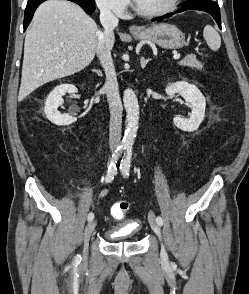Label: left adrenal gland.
I'll return each instance as SVG.
<instances>
[{
	"mask_svg": "<svg viewBox=\"0 0 249 294\" xmlns=\"http://www.w3.org/2000/svg\"><path fill=\"white\" fill-rule=\"evenodd\" d=\"M151 59H145L144 57H141L140 59V65L141 68L144 69L146 67V64L150 61Z\"/></svg>",
	"mask_w": 249,
	"mask_h": 294,
	"instance_id": "left-adrenal-gland-1",
	"label": "left adrenal gland"
}]
</instances>
